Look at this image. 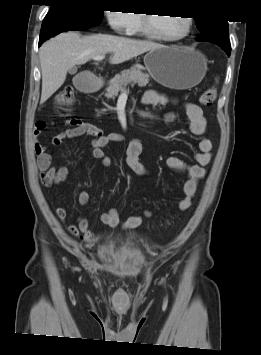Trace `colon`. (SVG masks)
Masks as SVG:
<instances>
[{"label": "colon", "mask_w": 261, "mask_h": 355, "mask_svg": "<svg viewBox=\"0 0 261 355\" xmlns=\"http://www.w3.org/2000/svg\"><path fill=\"white\" fill-rule=\"evenodd\" d=\"M218 94V88L216 85L206 89L200 96V103L203 106H212L214 102L216 101ZM54 103L63 108L66 109L74 104V93L71 87H64L60 89L55 95H54ZM43 123H38L37 126H42Z\"/></svg>", "instance_id": "obj_1"}]
</instances>
